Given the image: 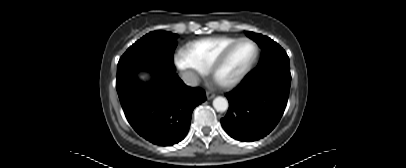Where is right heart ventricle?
Instances as JSON below:
<instances>
[{"mask_svg": "<svg viewBox=\"0 0 406 168\" xmlns=\"http://www.w3.org/2000/svg\"><path fill=\"white\" fill-rule=\"evenodd\" d=\"M236 39L231 36L198 39L186 45L185 53L197 67L207 72L210 71L218 54Z\"/></svg>", "mask_w": 406, "mask_h": 168, "instance_id": "e07e8e85", "label": "right heart ventricle"}]
</instances>
